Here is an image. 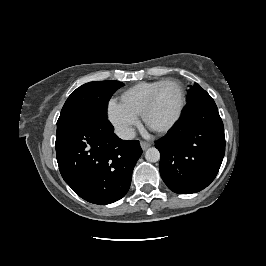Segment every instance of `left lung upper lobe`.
<instances>
[{"label":"left lung upper lobe","instance_id":"5c2ea615","mask_svg":"<svg viewBox=\"0 0 266 266\" xmlns=\"http://www.w3.org/2000/svg\"><path fill=\"white\" fill-rule=\"evenodd\" d=\"M207 92L198 84H196L195 86H190V89L188 90V103L190 101H192L193 99L202 96L204 94H206Z\"/></svg>","mask_w":266,"mask_h":266}]
</instances>
